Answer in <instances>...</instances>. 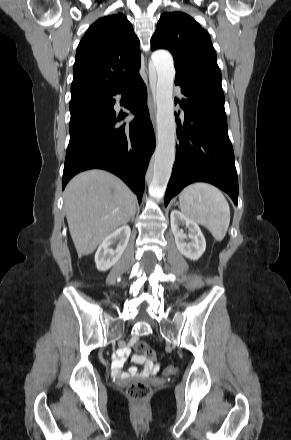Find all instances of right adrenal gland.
Instances as JSON below:
<instances>
[{"label":"right adrenal gland","mask_w":291,"mask_h":440,"mask_svg":"<svg viewBox=\"0 0 291 440\" xmlns=\"http://www.w3.org/2000/svg\"><path fill=\"white\" fill-rule=\"evenodd\" d=\"M131 221H132V222L134 221V216L132 217Z\"/></svg>","instance_id":"1"}]
</instances>
